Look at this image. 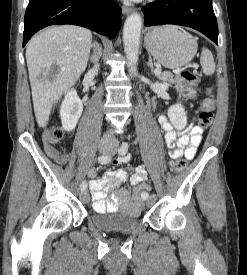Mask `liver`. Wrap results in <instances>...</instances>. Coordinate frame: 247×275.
Segmentation results:
<instances>
[{"instance_id": "obj_1", "label": "liver", "mask_w": 247, "mask_h": 275, "mask_svg": "<svg viewBox=\"0 0 247 275\" xmlns=\"http://www.w3.org/2000/svg\"><path fill=\"white\" fill-rule=\"evenodd\" d=\"M92 42L90 30L75 25L50 27L31 39L26 61L36 121L48 124L52 107L85 71ZM52 67L57 73L49 79Z\"/></svg>"}]
</instances>
